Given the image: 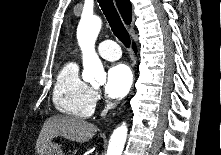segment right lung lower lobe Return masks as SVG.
Segmentation results:
<instances>
[{"label":"right lung lower lobe","instance_id":"1","mask_svg":"<svg viewBox=\"0 0 221 155\" xmlns=\"http://www.w3.org/2000/svg\"><path fill=\"white\" fill-rule=\"evenodd\" d=\"M133 48H134V50L136 51V47H135V45H133Z\"/></svg>","mask_w":221,"mask_h":155}]
</instances>
